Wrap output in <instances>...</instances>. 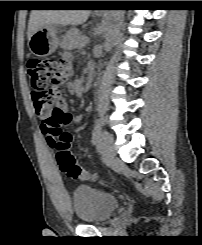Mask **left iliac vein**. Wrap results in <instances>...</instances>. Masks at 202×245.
I'll list each match as a JSON object with an SVG mask.
<instances>
[{"label":"left iliac vein","mask_w":202,"mask_h":245,"mask_svg":"<svg viewBox=\"0 0 202 245\" xmlns=\"http://www.w3.org/2000/svg\"><path fill=\"white\" fill-rule=\"evenodd\" d=\"M99 150L102 157L107 162H112L116 156V147L111 136L106 132H102L99 139Z\"/></svg>","instance_id":"1"}]
</instances>
